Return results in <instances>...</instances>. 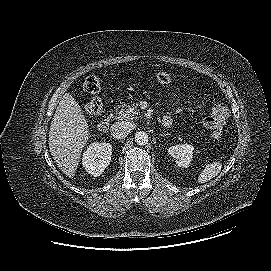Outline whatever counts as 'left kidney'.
Masks as SVG:
<instances>
[{
    "label": "left kidney",
    "instance_id": "5707ae66",
    "mask_svg": "<svg viewBox=\"0 0 271 271\" xmlns=\"http://www.w3.org/2000/svg\"><path fill=\"white\" fill-rule=\"evenodd\" d=\"M193 151L194 147L190 144L175 145L168 149L169 154L176 160V164L182 168L189 166Z\"/></svg>",
    "mask_w": 271,
    "mask_h": 271
}]
</instances>
